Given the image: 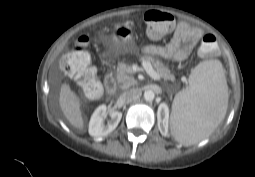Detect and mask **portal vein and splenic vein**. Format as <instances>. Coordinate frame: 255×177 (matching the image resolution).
<instances>
[{"label": "portal vein and splenic vein", "mask_w": 255, "mask_h": 177, "mask_svg": "<svg viewBox=\"0 0 255 177\" xmlns=\"http://www.w3.org/2000/svg\"><path fill=\"white\" fill-rule=\"evenodd\" d=\"M142 66L151 78H153L154 80H160L159 74L153 69L149 61L143 60Z\"/></svg>", "instance_id": "obj_1"}]
</instances>
